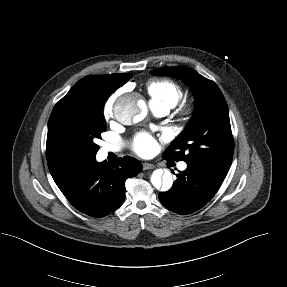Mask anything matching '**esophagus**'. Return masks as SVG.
I'll list each match as a JSON object with an SVG mask.
<instances>
[{"label":"esophagus","mask_w":287,"mask_h":287,"mask_svg":"<svg viewBox=\"0 0 287 287\" xmlns=\"http://www.w3.org/2000/svg\"><path fill=\"white\" fill-rule=\"evenodd\" d=\"M155 166L151 163H143V170L154 169Z\"/></svg>","instance_id":"esophagus-1"}]
</instances>
